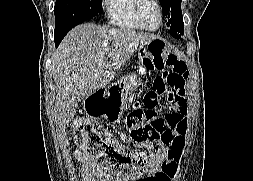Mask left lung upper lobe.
I'll return each mask as SVG.
<instances>
[{"mask_svg":"<svg viewBox=\"0 0 253 181\" xmlns=\"http://www.w3.org/2000/svg\"><path fill=\"white\" fill-rule=\"evenodd\" d=\"M163 14L167 17L170 34L177 39L183 35L184 23L181 12V0H159Z\"/></svg>","mask_w":253,"mask_h":181,"instance_id":"obj_1","label":"left lung upper lobe"}]
</instances>
